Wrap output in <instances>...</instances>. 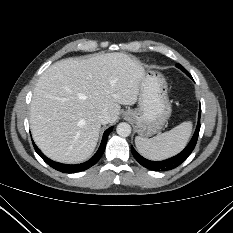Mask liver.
<instances>
[{
  "label": "liver",
  "instance_id": "6515ba94",
  "mask_svg": "<svg viewBox=\"0 0 233 233\" xmlns=\"http://www.w3.org/2000/svg\"><path fill=\"white\" fill-rule=\"evenodd\" d=\"M144 73L140 61L117 52L57 61L34 89L30 127L35 143L54 161H85L99 139L98 114L107 111L114 123L120 104L136 103Z\"/></svg>",
  "mask_w": 233,
  "mask_h": 233
}]
</instances>
